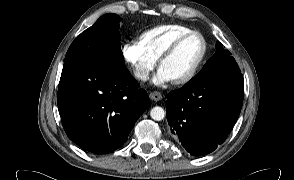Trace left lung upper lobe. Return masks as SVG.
I'll return each instance as SVG.
<instances>
[{
	"mask_svg": "<svg viewBox=\"0 0 294 180\" xmlns=\"http://www.w3.org/2000/svg\"><path fill=\"white\" fill-rule=\"evenodd\" d=\"M240 69L228 50L221 43L216 45V52L202 70L189 83H201L220 75L241 74Z\"/></svg>",
	"mask_w": 294,
	"mask_h": 180,
	"instance_id": "obj_1",
	"label": "left lung upper lobe"
}]
</instances>
